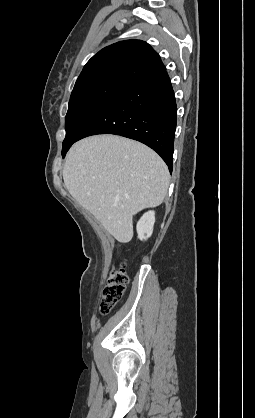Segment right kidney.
Listing matches in <instances>:
<instances>
[{
    "label": "right kidney",
    "instance_id": "1",
    "mask_svg": "<svg viewBox=\"0 0 255 418\" xmlns=\"http://www.w3.org/2000/svg\"><path fill=\"white\" fill-rule=\"evenodd\" d=\"M155 212H146L137 223V233L140 240H147L153 233Z\"/></svg>",
    "mask_w": 255,
    "mask_h": 418
}]
</instances>
